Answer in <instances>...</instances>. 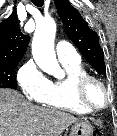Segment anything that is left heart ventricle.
Wrapping results in <instances>:
<instances>
[{"instance_id":"left-heart-ventricle-1","label":"left heart ventricle","mask_w":117,"mask_h":136,"mask_svg":"<svg viewBox=\"0 0 117 136\" xmlns=\"http://www.w3.org/2000/svg\"><path fill=\"white\" fill-rule=\"evenodd\" d=\"M87 98L94 106H102L105 103L106 96L103 90L96 83H91L87 90Z\"/></svg>"}]
</instances>
